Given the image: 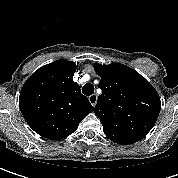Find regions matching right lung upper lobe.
Returning a JSON list of instances; mask_svg holds the SVG:
<instances>
[{"mask_svg":"<svg viewBox=\"0 0 178 178\" xmlns=\"http://www.w3.org/2000/svg\"><path fill=\"white\" fill-rule=\"evenodd\" d=\"M74 62L57 60L44 65L24 83L19 106L28 125L42 137L58 140L72 134L93 111L73 81Z\"/></svg>","mask_w":178,"mask_h":178,"instance_id":"1","label":"right lung upper lobe"}]
</instances>
